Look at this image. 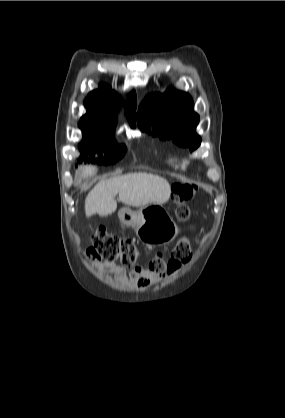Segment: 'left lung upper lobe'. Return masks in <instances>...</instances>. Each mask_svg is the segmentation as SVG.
<instances>
[{
  "mask_svg": "<svg viewBox=\"0 0 285 418\" xmlns=\"http://www.w3.org/2000/svg\"><path fill=\"white\" fill-rule=\"evenodd\" d=\"M193 100L185 92L168 89L164 94H150L138 109V126L146 128V120L152 116L155 120L153 135L162 139H172L175 143L195 150L201 143L195 128L199 123V116L193 111Z\"/></svg>",
  "mask_w": 285,
  "mask_h": 418,
  "instance_id": "5c2ea615",
  "label": "left lung upper lobe"
}]
</instances>
